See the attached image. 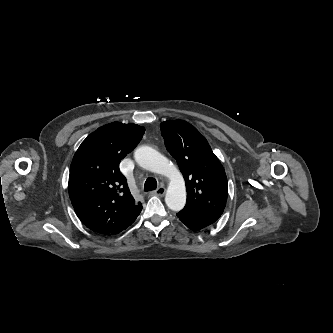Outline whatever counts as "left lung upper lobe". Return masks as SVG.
Returning <instances> with one entry per match:
<instances>
[{"instance_id": "5c2ea615", "label": "left lung upper lobe", "mask_w": 333, "mask_h": 333, "mask_svg": "<svg viewBox=\"0 0 333 333\" xmlns=\"http://www.w3.org/2000/svg\"><path fill=\"white\" fill-rule=\"evenodd\" d=\"M161 134L183 174L187 190L185 206L221 216L228 195L227 177L205 137L183 120L161 123Z\"/></svg>"}]
</instances>
